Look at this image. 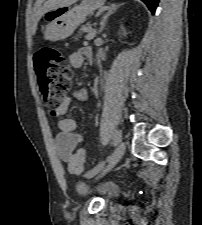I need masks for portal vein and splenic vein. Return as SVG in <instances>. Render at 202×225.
I'll return each instance as SVG.
<instances>
[{"instance_id":"portal-vein-and-splenic-vein-1","label":"portal vein and splenic vein","mask_w":202,"mask_h":225,"mask_svg":"<svg viewBox=\"0 0 202 225\" xmlns=\"http://www.w3.org/2000/svg\"><path fill=\"white\" fill-rule=\"evenodd\" d=\"M95 35H96V30L95 29H90L88 31V34L86 35L85 39L86 40H91V39H93L95 37Z\"/></svg>"}]
</instances>
